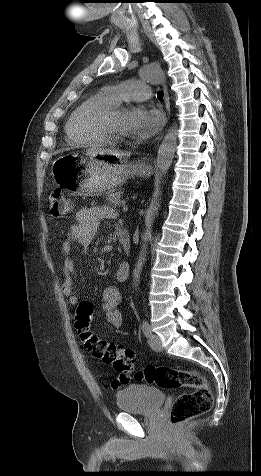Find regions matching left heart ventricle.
Masks as SVG:
<instances>
[{"label": "left heart ventricle", "mask_w": 261, "mask_h": 476, "mask_svg": "<svg viewBox=\"0 0 261 476\" xmlns=\"http://www.w3.org/2000/svg\"><path fill=\"white\" fill-rule=\"evenodd\" d=\"M126 116H127L126 110L120 111L116 113L111 120L113 128L119 133L124 135L129 134L127 124H126Z\"/></svg>", "instance_id": "1"}]
</instances>
